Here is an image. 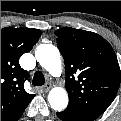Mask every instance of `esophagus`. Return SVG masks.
Listing matches in <instances>:
<instances>
[{
	"label": "esophagus",
	"instance_id": "obj_1",
	"mask_svg": "<svg viewBox=\"0 0 121 121\" xmlns=\"http://www.w3.org/2000/svg\"><path fill=\"white\" fill-rule=\"evenodd\" d=\"M50 88H51V85H50L49 83H47V84L43 87V91H44V92H48Z\"/></svg>",
	"mask_w": 121,
	"mask_h": 121
}]
</instances>
